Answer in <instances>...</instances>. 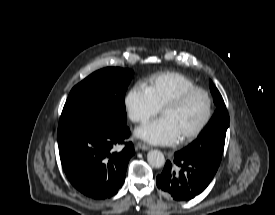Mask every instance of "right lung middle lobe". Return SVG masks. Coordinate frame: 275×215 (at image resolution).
<instances>
[{"instance_id": "obj_1", "label": "right lung middle lobe", "mask_w": 275, "mask_h": 215, "mask_svg": "<svg viewBox=\"0 0 275 215\" xmlns=\"http://www.w3.org/2000/svg\"><path fill=\"white\" fill-rule=\"evenodd\" d=\"M132 70L108 67L96 71L71 90L58 131L126 125L124 96Z\"/></svg>"}]
</instances>
